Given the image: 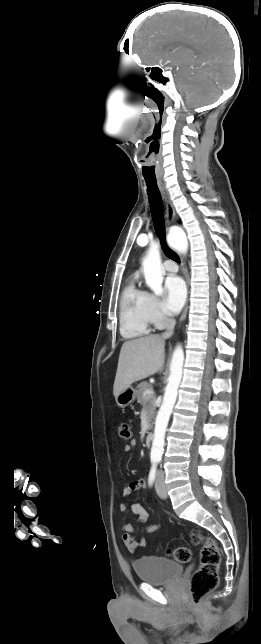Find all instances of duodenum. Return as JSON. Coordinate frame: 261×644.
<instances>
[{"mask_svg":"<svg viewBox=\"0 0 261 644\" xmlns=\"http://www.w3.org/2000/svg\"><path fill=\"white\" fill-rule=\"evenodd\" d=\"M153 441V433L148 432L145 436V446L150 447Z\"/></svg>","mask_w":261,"mask_h":644,"instance_id":"410a0bca","label":"duodenum"}]
</instances>
